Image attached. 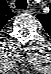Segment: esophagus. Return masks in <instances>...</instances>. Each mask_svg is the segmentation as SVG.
I'll use <instances>...</instances> for the list:
<instances>
[{
	"label": "esophagus",
	"instance_id": "1",
	"mask_svg": "<svg viewBox=\"0 0 51 74\" xmlns=\"http://www.w3.org/2000/svg\"><path fill=\"white\" fill-rule=\"evenodd\" d=\"M23 12H25V13H29V12H30V10H29V9H27V10H24Z\"/></svg>",
	"mask_w": 51,
	"mask_h": 74
}]
</instances>
